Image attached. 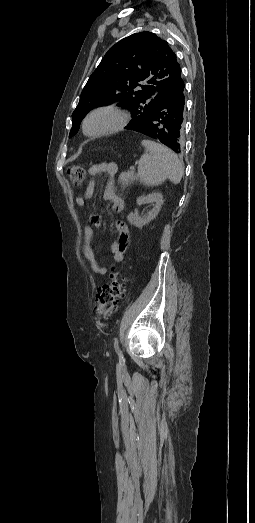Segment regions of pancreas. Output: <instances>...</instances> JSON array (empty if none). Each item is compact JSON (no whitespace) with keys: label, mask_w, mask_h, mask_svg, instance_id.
<instances>
[{"label":"pancreas","mask_w":255,"mask_h":523,"mask_svg":"<svg viewBox=\"0 0 255 523\" xmlns=\"http://www.w3.org/2000/svg\"><path fill=\"white\" fill-rule=\"evenodd\" d=\"M134 180H136V176L134 173L131 172H122L119 176V182L123 184V186H128V184H133Z\"/></svg>","instance_id":"obj_1"}]
</instances>
